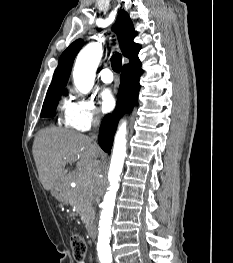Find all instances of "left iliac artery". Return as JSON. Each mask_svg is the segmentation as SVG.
Masks as SVG:
<instances>
[{"instance_id":"left-iliac-artery-1","label":"left iliac artery","mask_w":233,"mask_h":263,"mask_svg":"<svg viewBox=\"0 0 233 263\" xmlns=\"http://www.w3.org/2000/svg\"><path fill=\"white\" fill-rule=\"evenodd\" d=\"M102 263H111V262H102Z\"/></svg>"}]
</instances>
